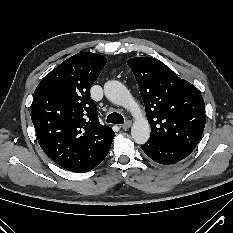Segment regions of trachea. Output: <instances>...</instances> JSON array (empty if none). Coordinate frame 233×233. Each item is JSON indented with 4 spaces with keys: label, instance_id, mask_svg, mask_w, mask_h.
Returning a JSON list of instances; mask_svg holds the SVG:
<instances>
[{
    "label": "trachea",
    "instance_id": "3493384b",
    "mask_svg": "<svg viewBox=\"0 0 233 233\" xmlns=\"http://www.w3.org/2000/svg\"><path fill=\"white\" fill-rule=\"evenodd\" d=\"M108 123H113V124H123L124 123V118L121 114L117 112H113L108 115L107 120Z\"/></svg>",
    "mask_w": 233,
    "mask_h": 233
}]
</instances>
